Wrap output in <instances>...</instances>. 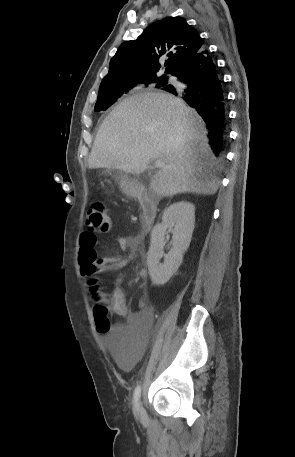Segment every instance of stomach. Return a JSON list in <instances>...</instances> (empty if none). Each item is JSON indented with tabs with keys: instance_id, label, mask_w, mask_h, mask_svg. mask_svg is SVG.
Here are the masks:
<instances>
[{
	"instance_id": "obj_1",
	"label": "stomach",
	"mask_w": 295,
	"mask_h": 457,
	"mask_svg": "<svg viewBox=\"0 0 295 457\" xmlns=\"http://www.w3.org/2000/svg\"><path fill=\"white\" fill-rule=\"evenodd\" d=\"M116 175H117V178H118V183H119L120 189L124 193H131L134 190V185H133L132 182H130L128 180V178L126 177L124 172H122L120 170H117L116 171Z\"/></svg>"
}]
</instances>
